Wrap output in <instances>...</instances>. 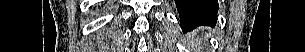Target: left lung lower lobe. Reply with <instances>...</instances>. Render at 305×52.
Masks as SVG:
<instances>
[{"label":"left lung lower lobe","mask_w":305,"mask_h":52,"mask_svg":"<svg viewBox=\"0 0 305 52\" xmlns=\"http://www.w3.org/2000/svg\"><path fill=\"white\" fill-rule=\"evenodd\" d=\"M175 3L179 13L192 8L207 13V18L201 23L180 25L184 30H193L200 25H211L216 23L217 11L219 9L217 0H175Z\"/></svg>","instance_id":"1"}]
</instances>
